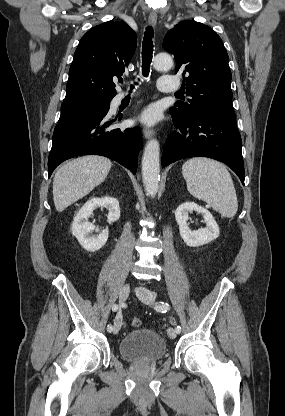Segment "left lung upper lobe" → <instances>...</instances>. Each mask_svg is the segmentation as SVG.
Masks as SVG:
<instances>
[{"mask_svg":"<svg viewBox=\"0 0 285 416\" xmlns=\"http://www.w3.org/2000/svg\"><path fill=\"white\" fill-rule=\"evenodd\" d=\"M163 48L174 55L176 73L183 75L186 95L191 97L170 109L173 120L187 121L209 112L234 113L228 54L210 27L181 22L167 33Z\"/></svg>","mask_w":285,"mask_h":416,"instance_id":"1","label":"left lung upper lobe"}]
</instances>
